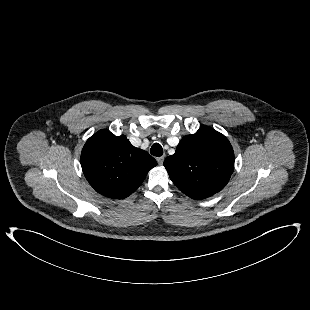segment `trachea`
<instances>
[{"label":"trachea","instance_id":"1","mask_svg":"<svg viewBox=\"0 0 310 310\" xmlns=\"http://www.w3.org/2000/svg\"><path fill=\"white\" fill-rule=\"evenodd\" d=\"M150 153L153 156L160 157L163 154V148L159 143H154L150 149Z\"/></svg>","mask_w":310,"mask_h":310}]
</instances>
